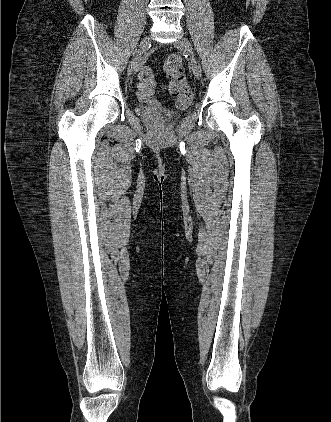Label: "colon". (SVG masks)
Returning a JSON list of instances; mask_svg holds the SVG:
<instances>
[{"mask_svg":"<svg viewBox=\"0 0 331 422\" xmlns=\"http://www.w3.org/2000/svg\"><path fill=\"white\" fill-rule=\"evenodd\" d=\"M164 70L170 80L168 90L177 97V107H186L191 101L192 93L185 80L182 59L176 54L169 55L166 58ZM142 74L143 76H150V70L145 67L142 70Z\"/></svg>","mask_w":331,"mask_h":422,"instance_id":"obj_1","label":"colon"}]
</instances>
